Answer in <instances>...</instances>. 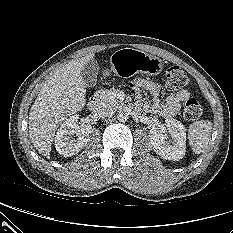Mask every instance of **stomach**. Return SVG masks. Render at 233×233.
I'll return each mask as SVG.
<instances>
[{"label": "stomach", "instance_id": "1", "mask_svg": "<svg viewBox=\"0 0 233 233\" xmlns=\"http://www.w3.org/2000/svg\"><path fill=\"white\" fill-rule=\"evenodd\" d=\"M111 71L122 77L136 73L157 75L163 69L162 61L143 51L122 48L115 51L110 58Z\"/></svg>", "mask_w": 233, "mask_h": 233}]
</instances>
